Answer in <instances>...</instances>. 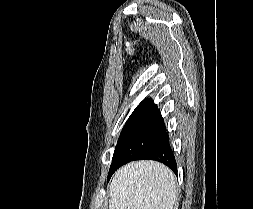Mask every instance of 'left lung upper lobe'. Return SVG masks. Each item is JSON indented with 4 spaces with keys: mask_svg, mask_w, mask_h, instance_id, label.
I'll list each match as a JSON object with an SVG mask.
<instances>
[{
    "mask_svg": "<svg viewBox=\"0 0 253 209\" xmlns=\"http://www.w3.org/2000/svg\"><path fill=\"white\" fill-rule=\"evenodd\" d=\"M166 129L158 107L145 99L125 123L113 154V161L137 155Z\"/></svg>",
    "mask_w": 253,
    "mask_h": 209,
    "instance_id": "1",
    "label": "left lung upper lobe"
}]
</instances>
